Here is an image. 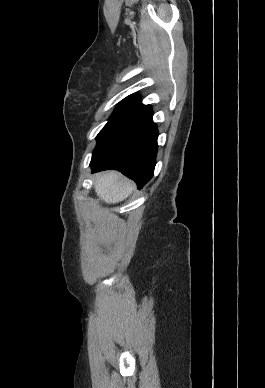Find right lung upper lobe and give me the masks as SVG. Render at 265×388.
Returning a JSON list of instances; mask_svg holds the SVG:
<instances>
[{
	"instance_id": "1",
	"label": "right lung upper lobe",
	"mask_w": 265,
	"mask_h": 388,
	"mask_svg": "<svg viewBox=\"0 0 265 388\" xmlns=\"http://www.w3.org/2000/svg\"><path fill=\"white\" fill-rule=\"evenodd\" d=\"M128 97H133V98H137V99H140L137 95L133 94V95H130Z\"/></svg>"
}]
</instances>
